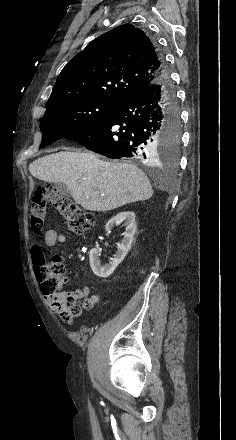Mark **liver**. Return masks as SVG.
I'll return each mask as SVG.
<instances>
[{
    "label": "liver",
    "mask_w": 236,
    "mask_h": 440,
    "mask_svg": "<svg viewBox=\"0 0 236 440\" xmlns=\"http://www.w3.org/2000/svg\"><path fill=\"white\" fill-rule=\"evenodd\" d=\"M29 171L45 182H63L74 201L90 211H109L153 195L148 177L138 167L100 160L91 152L52 153L33 161Z\"/></svg>",
    "instance_id": "liver-1"
}]
</instances>
